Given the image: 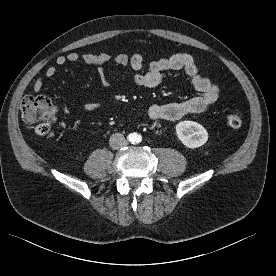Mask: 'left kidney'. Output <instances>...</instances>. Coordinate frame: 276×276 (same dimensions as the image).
I'll use <instances>...</instances> for the list:
<instances>
[{"label":"left kidney","mask_w":276,"mask_h":276,"mask_svg":"<svg viewBox=\"0 0 276 276\" xmlns=\"http://www.w3.org/2000/svg\"><path fill=\"white\" fill-rule=\"evenodd\" d=\"M178 139L187 148L195 149L204 145L208 140L207 130L194 121H181L176 125Z\"/></svg>","instance_id":"5707ae66"}]
</instances>
